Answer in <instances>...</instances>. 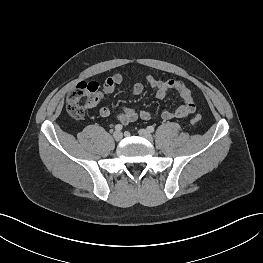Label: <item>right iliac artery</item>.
Masks as SVG:
<instances>
[{
    "label": "right iliac artery",
    "mask_w": 263,
    "mask_h": 263,
    "mask_svg": "<svg viewBox=\"0 0 263 263\" xmlns=\"http://www.w3.org/2000/svg\"><path fill=\"white\" fill-rule=\"evenodd\" d=\"M123 129V126L121 125V124H117L116 126H115V130L116 131H121Z\"/></svg>",
    "instance_id": "obj_1"
}]
</instances>
